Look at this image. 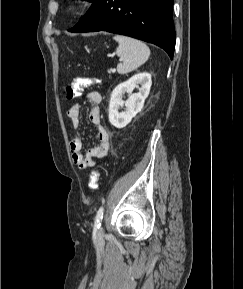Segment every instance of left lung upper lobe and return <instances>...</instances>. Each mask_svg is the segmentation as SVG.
Returning a JSON list of instances; mask_svg holds the SVG:
<instances>
[{
  "label": "left lung upper lobe",
  "mask_w": 243,
  "mask_h": 289,
  "mask_svg": "<svg viewBox=\"0 0 243 289\" xmlns=\"http://www.w3.org/2000/svg\"><path fill=\"white\" fill-rule=\"evenodd\" d=\"M88 1L93 2L94 0H88Z\"/></svg>",
  "instance_id": "obj_1"
}]
</instances>
